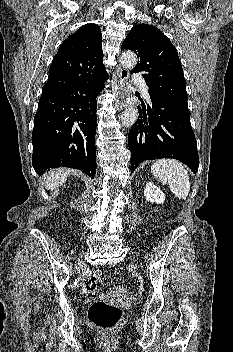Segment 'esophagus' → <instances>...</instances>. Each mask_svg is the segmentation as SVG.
I'll return each instance as SVG.
<instances>
[{
  "label": "esophagus",
  "mask_w": 233,
  "mask_h": 352,
  "mask_svg": "<svg viewBox=\"0 0 233 352\" xmlns=\"http://www.w3.org/2000/svg\"><path fill=\"white\" fill-rule=\"evenodd\" d=\"M129 79V71L124 68L118 70V94L121 109L127 108L130 104L127 101V88L126 82Z\"/></svg>",
  "instance_id": "1"
}]
</instances>
